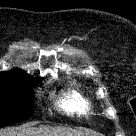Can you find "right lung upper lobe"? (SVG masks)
Segmentation results:
<instances>
[{
	"instance_id": "cb5924a9",
	"label": "right lung upper lobe",
	"mask_w": 136,
	"mask_h": 136,
	"mask_svg": "<svg viewBox=\"0 0 136 136\" xmlns=\"http://www.w3.org/2000/svg\"><path fill=\"white\" fill-rule=\"evenodd\" d=\"M19 78L34 79L20 69H14L11 71H3L0 73V81H10V80L19 79Z\"/></svg>"
}]
</instances>
